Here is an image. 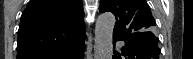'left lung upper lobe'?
I'll use <instances>...</instances> for the list:
<instances>
[{
	"instance_id": "obj_1",
	"label": "left lung upper lobe",
	"mask_w": 193,
	"mask_h": 59,
	"mask_svg": "<svg viewBox=\"0 0 193 59\" xmlns=\"http://www.w3.org/2000/svg\"><path fill=\"white\" fill-rule=\"evenodd\" d=\"M99 11H111L116 16L113 34L122 38L154 35L155 20L145 0H101Z\"/></svg>"
}]
</instances>
